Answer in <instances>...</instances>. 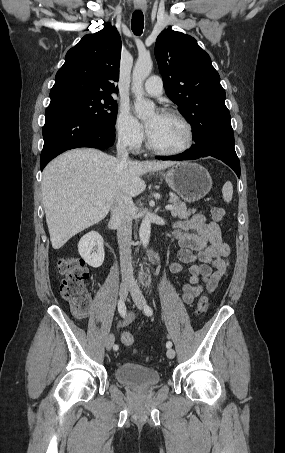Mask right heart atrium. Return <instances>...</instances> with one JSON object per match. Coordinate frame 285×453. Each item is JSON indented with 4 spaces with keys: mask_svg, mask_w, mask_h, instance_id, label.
Wrapping results in <instances>:
<instances>
[{
    "mask_svg": "<svg viewBox=\"0 0 285 453\" xmlns=\"http://www.w3.org/2000/svg\"><path fill=\"white\" fill-rule=\"evenodd\" d=\"M114 127L116 137L123 146L132 151H137L141 147L144 141L143 128L128 109L120 108Z\"/></svg>",
    "mask_w": 285,
    "mask_h": 453,
    "instance_id": "right-heart-atrium-1",
    "label": "right heart atrium"
}]
</instances>
